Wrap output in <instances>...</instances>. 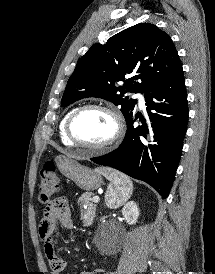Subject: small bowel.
Instances as JSON below:
<instances>
[{
	"label": "small bowel",
	"instance_id": "1",
	"mask_svg": "<svg viewBox=\"0 0 215 274\" xmlns=\"http://www.w3.org/2000/svg\"><path fill=\"white\" fill-rule=\"evenodd\" d=\"M58 224H61L66 229H73L75 227L68 202L62 197L53 200L46 207L39 226V235L44 243V251L51 267V274H60L67 267L66 260L55 252L54 233ZM102 272H104L103 269H96L82 272L81 274H99Z\"/></svg>",
	"mask_w": 215,
	"mask_h": 274
}]
</instances>
